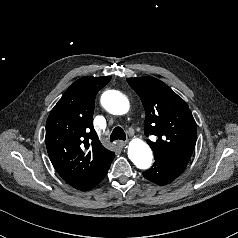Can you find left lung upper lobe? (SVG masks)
I'll return each instance as SVG.
<instances>
[{
  "label": "left lung upper lobe",
  "instance_id": "left-lung-upper-lobe-1",
  "mask_svg": "<svg viewBox=\"0 0 238 238\" xmlns=\"http://www.w3.org/2000/svg\"><path fill=\"white\" fill-rule=\"evenodd\" d=\"M128 84L141 98L145 109V134L155 159L187 165L193 153L197 128L186 102L165 83L152 77L128 78Z\"/></svg>",
  "mask_w": 238,
  "mask_h": 238
}]
</instances>
